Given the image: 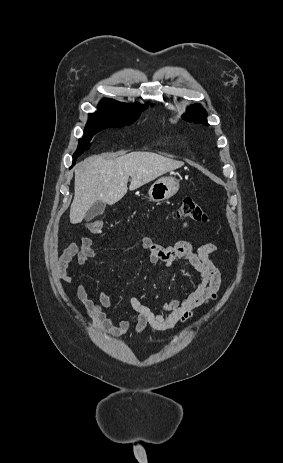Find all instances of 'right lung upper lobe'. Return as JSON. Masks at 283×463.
I'll return each mask as SVG.
<instances>
[{
    "mask_svg": "<svg viewBox=\"0 0 283 463\" xmlns=\"http://www.w3.org/2000/svg\"><path fill=\"white\" fill-rule=\"evenodd\" d=\"M101 105H129V106H136V107H143L141 104L139 103H135V104H125V103H121V102H118V101H115V100H112V99H102V101L100 102Z\"/></svg>",
    "mask_w": 283,
    "mask_h": 463,
    "instance_id": "1",
    "label": "right lung upper lobe"
}]
</instances>
